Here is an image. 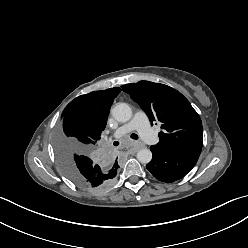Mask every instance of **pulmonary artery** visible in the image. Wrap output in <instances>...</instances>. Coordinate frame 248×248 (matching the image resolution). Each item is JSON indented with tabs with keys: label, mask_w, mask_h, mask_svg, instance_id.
I'll return each instance as SVG.
<instances>
[{
	"label": "pulmonary artery",
	"mask_w": 248,
	"mask_h": 248,
	"mask_svg": "<svg viewBox=\"0 0 248 248\" xmlns=\"http://www.w3.org/2000/svg\"><path fill=\"white\" fill-rule=\"evenodd\" d=\"M134 130H137L145 141H151V138L153 137V132L149 126V120L147 115L142 111L136 112L130 122L119 127L114 132L113 137L119 138Z\"/></svg>",
	"instance_id": "e3ab8cb5"
}]
</instances>
